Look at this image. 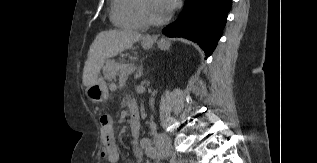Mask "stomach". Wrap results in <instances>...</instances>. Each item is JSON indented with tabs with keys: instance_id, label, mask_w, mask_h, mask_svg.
<instances>
[{
	"instance_id": "stomach-1",
	"label": "stomach",
	"mask_w": 317,
	"mask_h": 163,
	"mask_svg": "<svg viewBox=\"0 0 317 163\" xmlns=\"http://www.w3.org/2000/svg\"><path fill=\"white\" fill-rule=\"evenodd\" d=\"M152 44L147 43L145 41L142 42V47L144 49L151 48ZM158 46L161 49H168L170 47V43L165 39H161L158 42ZM87 97L94 103H102L104 102L108 96L109 91L105 81L102 78H99L94 84L88 86L85 91Z\"/></svg>"
}]
</instances>
